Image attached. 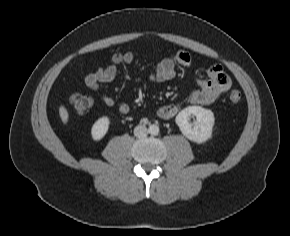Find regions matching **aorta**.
<instances>
[{"mask_svg":"<svg viewBox=\"0 0 290 236\" xmlns=\"http://www.w3.org/2000/svg\"><path fill=\"white\" fill-rule=\"evenodd\" d=\"M148 132L151 135H158V133H159V127L157 125H150L149 126V129H148Z\"/></svg>","mask_w":290,"mask_h":236,"instance_id":"aorta-1","label":"aorta"}]
</instances>
